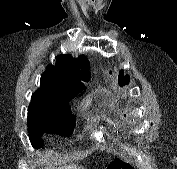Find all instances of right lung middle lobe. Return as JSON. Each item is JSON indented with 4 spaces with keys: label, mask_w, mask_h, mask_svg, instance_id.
I'll return each instance as SVG.
<instances>
[{
    "label": "right lung middle lobe",
    "mask_w": 177,
    "mask_h": 169,
    "mask_svg": "<svg viewBox=\"0 0 177 169\" xmlns=\"http://www.w3.org/2000/svg\"><path fill=\"white\" fill-rule=\"evenodd\" d=\"M68 103L69 101L30 105L28 109L29 136L43 137L44 133H58L62 136L72 134L75 118L69 110Z\"/></svg>",
    "instance_id": "dd1d6c3e"
}]
</instances>
